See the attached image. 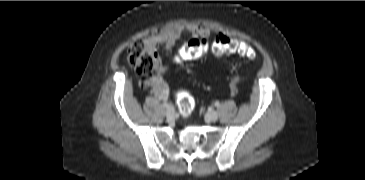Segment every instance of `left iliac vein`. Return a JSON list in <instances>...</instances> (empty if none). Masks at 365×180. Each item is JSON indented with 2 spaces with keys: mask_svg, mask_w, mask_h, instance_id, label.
Masks as SVG:
<instances>
[{
  "mask_svg": "<svg viewBox=\"0 0 365 180\" xmlns=\"http://www.w3.org/2000/svg\"><path fill=\"white\" fill-rule=\"evenodd\" d=\"M206 117L209 121H216L218 119V113L214 110H209L206 114Z\"/></svg>",
  "mask_w": 365,
  "mask_h": 180,
  "instance_id": "obj_1",
  "label": "left iliac vein"
}]
</instances>
